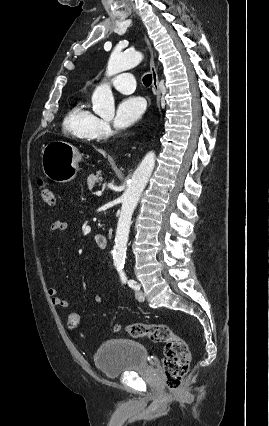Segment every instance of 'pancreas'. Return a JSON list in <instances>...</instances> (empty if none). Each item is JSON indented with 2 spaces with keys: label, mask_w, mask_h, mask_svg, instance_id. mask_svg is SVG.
<instances>
[{
  "label": "pancreas",
  "mask_w": 269,
  "mask_h": 426,
  "mask_svg": "<svg viewBox=\"0 0 269 426\" xmlns=\"http://www.w3.org/2000/svg\"><path fill=\"white\" fill-rule=\"evenodd\" d=\"M102 176L100 173L92 174L87 178L88 188L91 191L95 184L102 181Z\"/></svg>",
  "instance_id": "obj_1"
}]
</instances>
